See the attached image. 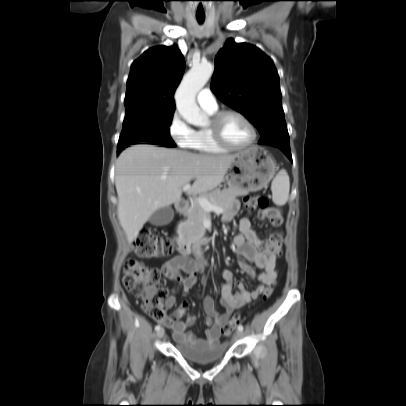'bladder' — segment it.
<instances>
[{"label":"bladder","mask_w":406,"mask_h":406,"mask_svg":"<svg viewBox=\"0 0 406 406\" xmlns=\"http://www.w3.org/2000/svg\"><path fill=\"white\" fill-rule=\"evenodd\" d=\"M176 348L183 357L200 364L217 361L222 358L227 351V347L220 344L196 347L176 342Z\"/></svg>","instance_id":"1"}]
</instances>
